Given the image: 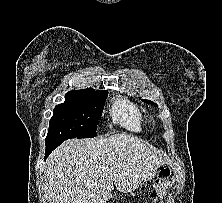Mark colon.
<instances>
[{
	"mask_svg": "<svg viewBox=\"0 0 222 203\" xmlns=\"http://www.w3.org/2000/svg\"><path fill=\"white\" fill-rule=\"evenodd\" d=\"M169 175V170L167 168H162L160 170V175L159 177L156 179L155 182V190L153 191V196L155 197L157 195V191L161 185V183L163 182V180Z\"/></svg>",
	"mask_w": 222,
	"mask_h": 203,
	"instance_id": "5ec220e1",
	"label": "colon"
}]
</instances>
